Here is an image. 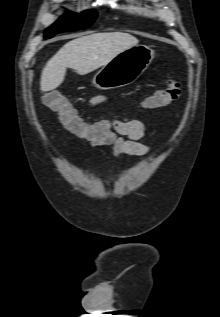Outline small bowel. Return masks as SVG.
I'll list each match as a JSON object with an SVG mask.
<instances>
[{
    "mask_svg": "<svg viewBox=\"0 0 220 317\" xmlns=\"http://www.w3.org/2000/svg\"><path fill=\"white\" fill-rule=\"evenodd\" d=\"M104 100L105 96H96L92 99L91 105L96 106ZM109 124L110 129L105 133L99 131L98 124H86L84 130L74 133L91 146L112 145L116 156H141L147 153V145L138 142L146 134V126L143 122L122 121L112 117Z\"/></svg>",
    "mask_w": 220,
    "mask_h": 317,
    "instance_id": "obj_1",
    "label": "small bowel"
}]
</instances>
